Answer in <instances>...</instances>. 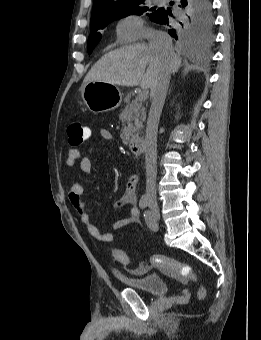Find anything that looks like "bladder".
Listing matches in <instances>:
<instances>
[{"label":"bladder","mask_w":261,"mask_h":340,"mask_svg":"<svg viewBox=\"0 0 261 340\" xmlns=\"http://www.w3.org/2000/svg\"><path fill=\"white\" fill-rule=\"evenodd\" d=\"M116 278L129 288L149 295L164 296L169 288L166 279L159 274H149L142 277L116 274Z\"/></svg>","instance_id":"obj_1"}]
</instances>
